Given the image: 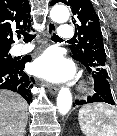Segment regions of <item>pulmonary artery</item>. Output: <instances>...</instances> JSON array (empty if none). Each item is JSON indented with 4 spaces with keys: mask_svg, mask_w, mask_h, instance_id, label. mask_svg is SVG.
Listing matches in <instances>:
<instances>
[{
    "mask_svg": "<svg viewBox=\"0 0 117 136\" xmlns=\"http://www.w3.org/2000/svg\"><path fill=\"white\" fill-rule=\"evenodd\" d=\"M62 39H72L75 36V30L69 25H61L58 33ZM31 50V46H22L15 49L16 54H24Z\"/></svg>",
    "mask_w": 117,
    "mask_h": 136,
    "instance_id": "e3ab8cb5",
    "label": "pulmonary artery"
}]
</instances>
